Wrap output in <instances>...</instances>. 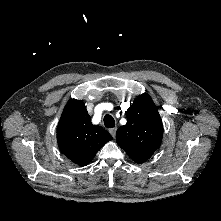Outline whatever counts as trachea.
<instances>
[{"mask_svg": "<svg viewBox=\"0 0 221 221\" xmlns=\"http://www.w3.org/2000/svg\"><path fill=\"white\" fill-rule=\"evenodd\" d=\"M104 124L106 128H113L115 127V120L111 115L107 114L104 116Z\"/></svg>", "mask_w": 221, "mask_h": 221, "instance_id": "1", "label": "trachea"}]
</instances>
